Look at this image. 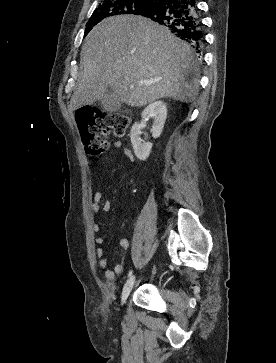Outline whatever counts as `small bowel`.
<instances>
[{
	"mask_svg": "<svg viewBox=\"0 0 276 363\" xmlns=\"http://www.w3.org/2000/svg\"><path fill=\"white\" fill-rule=\"evenodd\" d=\"M113 150L122 148V142L121 141H115L112 144L111 147ZM122 152L125 155V157L130 161L134 162L135 158L129 148H122ZM110 209V203L109 201L105 200L103 198V193L101 190H97L94 194V200L93 203L90 206V211L92 215H95L99 212H106ZM92 231L95 234H98L100 232V226L92 220L91 225ZM104 238L102 236H96L95 237V243L99 245V247L96 249V257L98 259L99 266L109 284H112L115 280L117 275L122 274L125 272V267L122 264H116L114 266V269H110L108 262L105 258L104 249L101 247V245L104 244ZM118 248L121 249H128L129 247V241L126 238L120 239L117 245Z\"/></svg>",
	"mask_w": 276,
	"mask_h": 363,
	"instance_id": "c3829d8e",
	"label": "small bowel"
}]
</instances>
